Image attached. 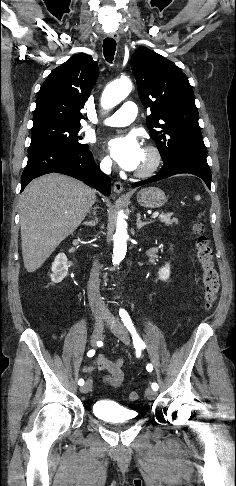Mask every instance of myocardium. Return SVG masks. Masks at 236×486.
Masks as SVG:
<instances>
[{"label": "myocardium", "mask_w": 236, "mask_h": 486, "mask_svg": "<svg viewBox=\"0 0 236 486\" xmlns=\"http://www.w3.org/2000/svg\"><path fill=\"white\" fill-rule=\"evenodd\" d=\"M144 152L149 156V163L146 167L138 169L135 172L137 178L145 179L153 176L159 169L162 156L159 149L153 145H147Z\"/></svg>", "instance_id": "obj_1"}]
</instances>
